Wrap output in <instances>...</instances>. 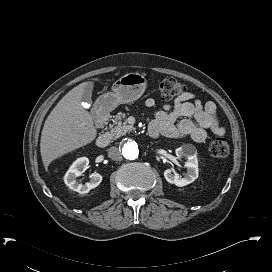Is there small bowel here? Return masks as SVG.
I'll return each mask as SVG.
<instances>
[{"label": "small bowel", "mask_w": 272, "mask_h": 272, "mask_svg": "<svg viewBox=\"0 0 272 272\" xmlns=\"http://www.w3.org/2000/svg\"><path fill=\"white\" fill-rule=\"evenodd\" d=\"M147 108H153L155 101L147 99ZM151 124L158 127L159 133L170 138L190 136L194 141L203 143L207 138L206 130L222 136L225 128L220 125L216 117V105L212 101L202 103L192 93H185L171 103H165L161 110L154 114ZM177 117L182 119L175 123Z\"/></svg>", "instance_id": "small-bowel-1"}]
</instances>
